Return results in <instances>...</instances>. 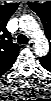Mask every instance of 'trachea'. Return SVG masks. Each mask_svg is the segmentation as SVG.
I'll return each instance as SVG.
<instances>
[{"mask_svg":"<svg viewBox=\"0 0 51 101\" xmlns=\"http://www.w3.org/2000/svg\"><path fill=\"white\" fill-rule=\"evenodd\" d=\"M29 41V39L25 36V35H22L20 34L18 37H17V42L19 44H27Z\"/></svg>","mask_w":51,"mask_h":101,"instance_id":"3493384b","label":"trachea"}]
</instances>
